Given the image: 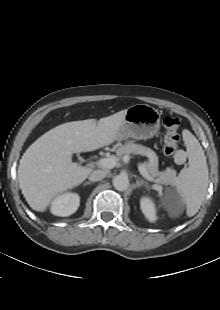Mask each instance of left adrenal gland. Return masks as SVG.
Here are the masks:
<instances>
[{"label":"left adrenal gland","instance_id":"left-adrenal-gland-1","mask_svg":"<svg viewBox=\"0 0 220 310\" xmlns=\"http://www.w3.org/2000/svg\"><path fill=\"white\" fill-rule=\"evenodd\" d=\"M142 186L148 188V185H147V183H146L144 180H142V179H137V180H136V187L140 188V187H142Z\"/></svg>","mask_w":220,"mask_h":310}]
</instances>
